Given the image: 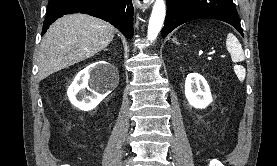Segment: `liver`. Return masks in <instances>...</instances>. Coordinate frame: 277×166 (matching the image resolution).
Wrapping results in <instances>:
<instances>
[{"instance_id":"1","label":"liver","mask_w":277,"mask_h":166,"mask_svg":"<svg viewBox=\"0 0 277 166\" xmlns=\"http://www.w3.org/2000/svg\"><path fill=\"white\" fill-rule=\"evenodd\" d=\"M116 29L86 14L66 15L54 22L44 35L38 61V78L91 58L106 48Z\"/></svg>"}]
</instances>
